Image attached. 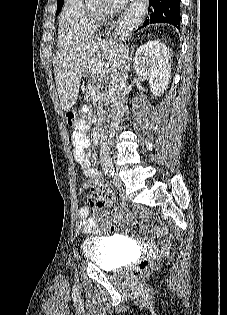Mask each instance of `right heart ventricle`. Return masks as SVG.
Wrapping results in <instances>:
<instances>
[{
  "mask_svg": "<svg viewBox=\"0 0 227 315\" xmlns=\"http://www.w3.org/2000/svg\"><path fill=\"white\" fill-rule=\"evenodd\" d=\"M84 0H64L58 17V46L68 49L93 38L98 25L84 21Z\"/></svg>",
  "mask_w": 227,
  "mask_h": 315,
  "instance_id": "right-heart-ventricle-1",
  "label": "right heart ventricle"
}]
</instances>
